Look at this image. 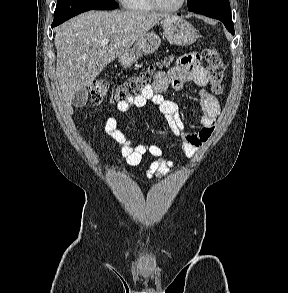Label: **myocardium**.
Segmentation results:
<instances>
[{
	"label": "myocardium",
	"mask_w": 288,
	"mask_h": 293,
	"mask_svg": "<svg viewBox=\"0 0 288 293\" xmlns=\"http://www.w3.org/2000/svg\"><path fill=\"white\" fill-rule=\"evenodd\" d=\"M152 6L160 11L164 12H176L179 11L185 4L186 0H180L179 3L173 7H167L162 5L158 0H149Z\"/></svg>",
	"instance_id": "myocardium-1"
}]
</instances>
